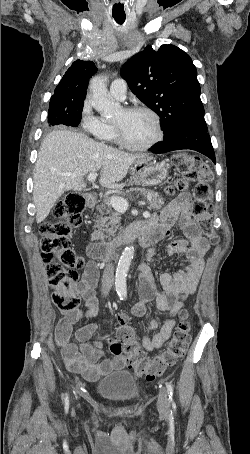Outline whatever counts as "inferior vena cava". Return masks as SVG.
<instances>
[{
    "instance_id": "obj_1",
    "label": "inferior vena cava",
    "mask_w": 250,
    "mask_h": 454,
    "mask_svg": "<svg viewBox=\"0 0 250 454\" xmlns=\"http://www.w3.org/2000/svg\"><path fill=\"white\" fill-rule=\"evenodd\" d=\"M114 281V267L111 263L106 265V268L102 277V294L104 296L108 295L110 289L112 288Z\"/></svg>"
}]
</instances>
